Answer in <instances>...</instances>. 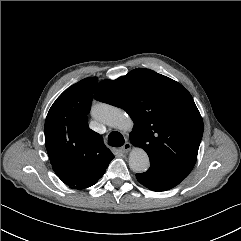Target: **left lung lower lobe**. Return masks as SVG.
Masks as SVG:
<instances>
[{
    "label": "left lung lower lobe",
    "instance_id": "1",
    "mask_svg": "<svg viewBox=\"0 0 241 241\" xmlns=\"http://www.w3.org/2000/svg\"><path fill=\"white\" fill-rule=\"evenodd\" d=\"M136 178L150 190L166 191L178 185L186 176L156 166H150L147 172L136 174Z\"/></svg>",
    "mask_w": 241,
    "mask_h": 241
}]
</instances>
